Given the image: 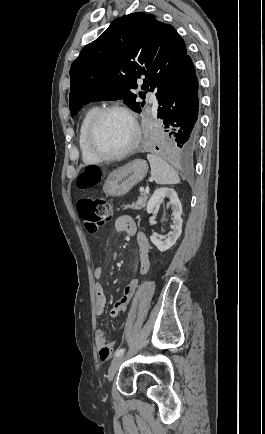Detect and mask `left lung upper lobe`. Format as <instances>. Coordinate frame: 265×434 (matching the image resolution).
I'll return each mask as SVG.
<instances>
[{"label": "left lung upper lobe", "mask_w": 265, "mask_h": 434, "mask_svg": "<svg viewBox=\"0 0 265 434\" xmlns=\"http://www.w3.org/2000/svg\"><path fill=\"white\" fill-rule=\"evenodd\" d=\"M187 57L173 26L143 12L119 17L83 48L70 68L71 115L89 102L115 99L141 112L143 105L131 91L137 88L136 78L145 76L142 89H156L159 98Z\"/></svg>", "instance_id": "1"}]
</instances>
